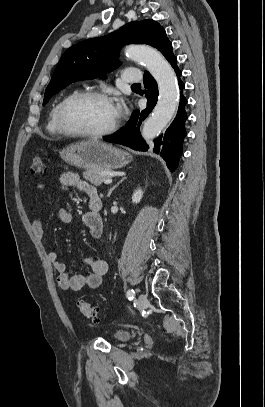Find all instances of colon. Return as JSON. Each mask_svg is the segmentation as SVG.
<instances>
[{"mask_svg":"<svg viewBox=\"0 0 265 407\" xmlns=\"http://www.w3.org/2000/svg\"><path fill=\"white\" fill-rule=\"evenodd\" d=\"M45 166L43 159L40 155L36 154L31 159L30 165V173L33 176L40 175L44 172ZM76 308L79 312L87 319L98 322L99 321V314L98 310L93 307L90 303L85 300H77L76 301Z\"/></svg>","mask_w":265,"mask_h":407,"instance_id":"1","label":"colon"}]
</instances>
